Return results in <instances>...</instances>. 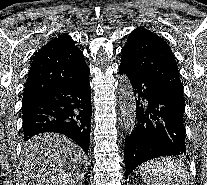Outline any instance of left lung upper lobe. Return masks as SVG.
Wrapping results in <instances>:
<instances>
[{
    "mask_svg": "<svg viewBox=\"0 0 207 185\" xmlns=\"http://www.w3.org/2000/svg\"><path fill=\"white\" fill-rule=\"evenodd\" d=\"M121 53L120 65L130 74L153 80L184 102L176 61L162 38L149 30L136 29L129 34Z\"/></svg>",
    "mask_w": 207,
    "mask_h": 185,
    "instance_id": "left-lung-upper-lobe-1",
    "label": "left lung upper lobe"
}]
</instances>
